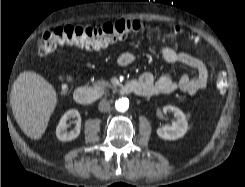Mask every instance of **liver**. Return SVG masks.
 I'll return each instance as SVG.
<instances>
[{
  "mask_svg": "<svg viewBox=\"0 0 245 187\" xmlns=\"http://www.w3.org/2000/svg\"><path fill=\"white\" fill-rule=\"evenodd\" d=\"M54 87L35 72H22L13 84L10 103L21 130L31 139H40L57 104Z\"/></svg>",
  "mask_w": 245,
  "mask_h": 187,
  "instance_id": "obj_1",
  "label": "liver"
}]
</instances>
